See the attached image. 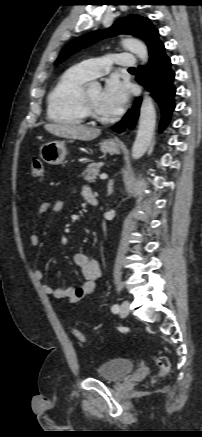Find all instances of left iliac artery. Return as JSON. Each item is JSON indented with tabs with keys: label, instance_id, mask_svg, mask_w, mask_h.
Returning a JSON list of instances; mask_svg holds the SVG:
<instances>
[{
	"label": "left iliac artery",
	"instance_id": "44dca946",
	"mask_svg": "<svg viewBox=\"0 0 202 437\" xmlns=\"http://www.w3.org/2000/svg\"><path fill=\"white\" fill-rule=\"evenodd\" d=\"M111 310H112V312H119V310H120V307H119V305L118 304H114L112 307H111Z\"/></svg>",
	"mask_w": 202,
	"mask_h": 437
}]
</instances>
